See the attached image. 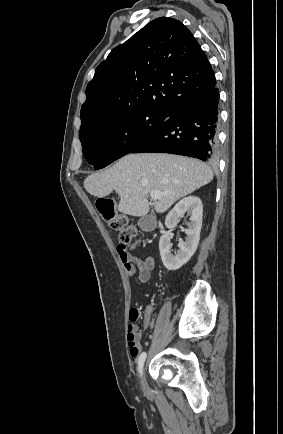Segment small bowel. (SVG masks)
Here are the masks:
<instances>
[{
    "label": "small bowel",
    "mask_w": 283,
    "mask_h": 434,
    "mask_svg": "<svg viewBox=\"0 0 283 434\" xmlns=\"http://www.w3.org/2000/svg\"><path fill=\"white\" fill-rule=\"evenodd\" d=\"M120 260L123 263L125 271L128 276H137L138 281L141 284H145L151 277V272L156 266V260L154 257L149 256L144 260L132 256L121 245L117 248ZM152 308L147 307L143 314V329L147 330L152 325ZM142 338V331L139 327L131 323L127 329V343L129 347V353L132 357H137L141 351L140 340Z\"/></svg>",
    "instance_id": "small-bowel-1"
}]
</instances>
